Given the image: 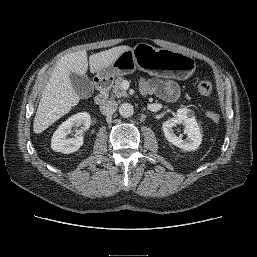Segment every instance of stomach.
I'll return each mask as SVG.
<instances>
[{"instance_id": "0dacf381", "label": "stomach", "mask_w": 257, "mask_h": 257, "mask_svg": "<svg viewBox=\"0 0 257 257\" xmlns=\"http://www.w3.org/2000/svg\"><path fill=\"white\" fill-rule=\"evenodd\" d=\"M136 69L151 75L183 80L194 73L196 62L193 57L181 52L138 43L133 49L123 52L109 67L98 72V76L114 78L131 74Z\"/></svg>"}]
</instances>
